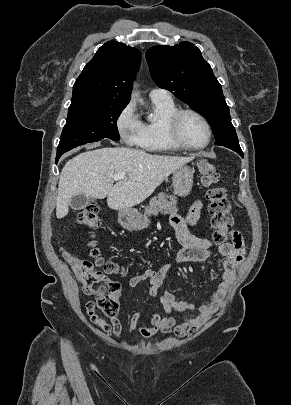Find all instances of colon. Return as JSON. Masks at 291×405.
Segmentation results:
<instances>
[{"label": "colon", "instance_id": "obj_1", "mask_svg": "<svg viewBox=\"0 0 291 405\" xmlns=\"http://www.w3.org/2000/svg\"><path fill=\"white\" fill-rule=\"evenodd\" d=\"M198 171L203 185L208 188L206 197L209 201L210 223L214 230L212 238L217 244L228 243V230L232 224V217L226 190L217 186L220 178L219 171L207 160L198 162ZM76 222L90 230L98 229L101 219L97 208H85L78 214ZM91 246V255L95 258L97 266L103 269L102 271L96 270L90 261L81 260L67 251H63V255L76 279L81 283L84 293L96 297L97 306L105 315L114 316L119 309L121 287L109 275L117 274L121 270L116 263L100 257L93 243Z\"/></svg>", "mask_w": 291, "mask_h": 405}]
</instances>
